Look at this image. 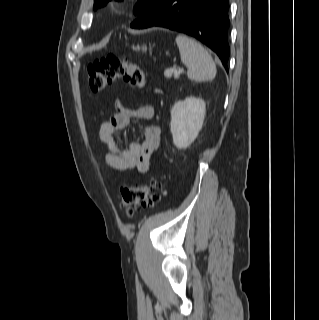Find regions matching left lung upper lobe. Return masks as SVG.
<instances>
[{"label":"left lung upper lobe","instance_id":"1","mask_svg":"<svg viewBox=\"0 0 319 320\" xmlns=\"http://www.w3.org/2000/svg\"><path fill=\"white\" fill-rule=\"evenodd\" d=\"M109 0H94V9L105 5ZM159 0H138L134 8V13L138 18L147 14Z\"/></svg>","mask_w":319,"mask_h":320}]
</instances>
